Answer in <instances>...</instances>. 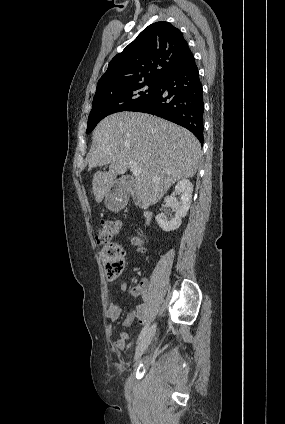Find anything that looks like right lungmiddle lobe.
<instances>
[{
	"mask_svg": "<svg viewBox=\"0 0 285 424\" xmlns=\"http://www.w3.org/2000/svg\"><path fill=\"white\" fill-rule=\"evenodd\" d=\"M162 81L146 80L97 90L88 117L86 133H90L106 116L130 111L135 106L154 96L161 88Z\"/></svg>",
	"mask_w": 285,
	"mask_h": 424,
	"instance_id": "obj_1",
	"label": "right lung middle lobe"
}]
</instances>
